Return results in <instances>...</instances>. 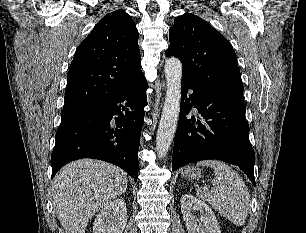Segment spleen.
Here are the masks:
<instances>
[{
  "mask_svg": "<svg viewBox=\"0 0 306 233\" xmlns=\"http://www.w3.org/2000/svg\"><path fill=\"white\" fill-rule=\"evenodd\" d=\"M197 166H209L214 169L212 185L218 192L209 191L206 186L197 188V196L208 202L220 215L235 226L245 224L250 208L248 188L239 176L227 164L217 160H203Z\"/></svg>",
  "mask_w": 306,
  "mask_h": 233,
  "instance_id": "1",
  "label": "spleen"
}]
</instances>
